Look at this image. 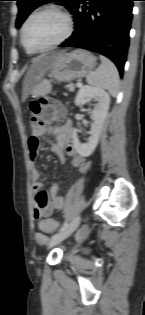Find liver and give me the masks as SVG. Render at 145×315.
I'll list each match as a JSON object with an SVG mask.
<instances>
[{
  "label": "liver",
  "instance_id": "1",
  "mask_svg": "<svg viewBox=\"0 0 145 315\" xmlns=\"http://www.w3.org/2000/svg\"><path fill=\"white\" fill-rule=\"evenodd\" d=\"M62 54L63 53H53L50 55L40 56L34 60L32 66L24 78L22 96L23 100L28 97L29 93L33 91L37 83L43 78L53 63Z\"/></svg>",
  "mask_w": 145,
  "mask_h": 315
}]
</instances>
